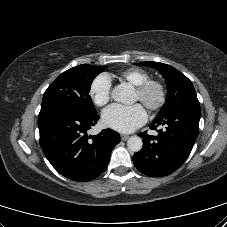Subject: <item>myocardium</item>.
I'll use <instances>...</instances> for the list:
<instances>
[{
    "label": "myocardium",
    "instance_id": "myocardium-1",
    "mask_svg": "<svg viewBox=\"0 0 227 227\" xmlns=\"http://www.w3.org/2000/svg\"><path fill=\"white\" fill-rule=\"evenodd\" d=\"M135 92L139 95L141 102L150 111L160 110L167 100V89L163 82L156 79H148L136 86ZM155 92L156 98L149 99V95Z\"/></svg>",
    "mask_w": 227,
    "mask_h": 227
}]
</instances>
